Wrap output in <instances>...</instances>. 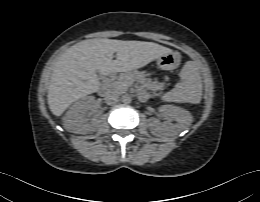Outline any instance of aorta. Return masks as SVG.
Listing matches in <instances>:
<instances>
[{"label": "aorta", "mask_w": 260, "mask_h": 202, "mask_svg": "<svg viewBox=\"0 0 260 202\" xmlns=\"http://www.w3.org/2000/svg\"><path fill=\"white\" fill-rule=\"evenodd\" d=\"M132 100L131 96L129 94H124L122 97H121V101L125 104H128L130 103Z\"/></svg>", "instance_id": "obj_1"}]
</instances>
